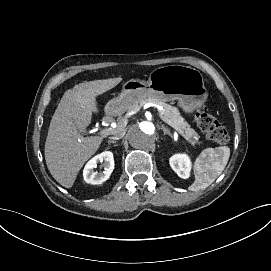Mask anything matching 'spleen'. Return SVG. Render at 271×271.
Returning <instances> with one entry per match:
<instances>
[{
  "label": "spleen",
  "instance_id": "obj_1",
  "mask_svg": "<svg viewBox=\"0 0 271 271\" xmlns=\"http://www.w3.org/2000/svg\"><path fill=\"white\" fill-rule=\"evenodd\" d=\"M230 157V149L227 146L207 150L196 159L194 164L195 181L189 186L190 191H198L207 188L221 175Z\"/></svg>",
  "mask_w": 271,
  "mask_h": 271
}]
</instances>
